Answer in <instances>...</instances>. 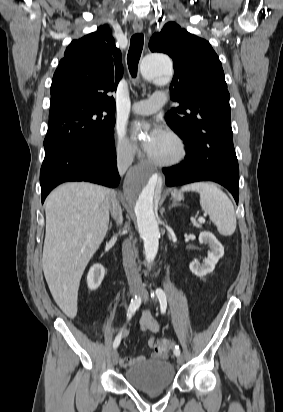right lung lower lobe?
Returning <instances> with one entry per match:
<instances>
[{
	"label": "right lung lower lobe",
	"instance_id": "right-lung-lower-lobe-1",
	"mask_svg": "<svg viewBox=\"0 0 283 412\" xmlns=\"http://www.w3.org/2000/svg\"><path fill=\"white\" fill-rule=\"evenodd\" d=\"M119 180L114 144H64L45 152L40 171L42 203L49 192L63 182L89 181L115 187Z\"/></svg>",
	"mask_w": 283,
	"mask_h": 412
}]
</instances>
